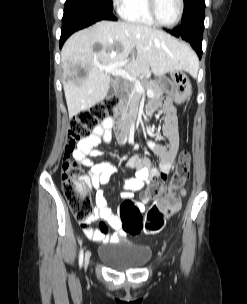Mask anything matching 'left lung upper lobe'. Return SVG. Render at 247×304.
<instances>
[{
    "label": "left lung upper lobe",
    "instance_id": "obj_1",
    "mask_svg": "<svg viewBox=\"0 0 247 304\" xmlns=\"http://www.w3.org/2000/svg\"><path fill=\"white\" fill-rule=\"evenodd\" d=\"M205 9V0H184V11L181 23L187 22L195 14L203 12Z\"/></svg>",
    "mask_w": 247,
    "mask_h": 304
}]
</instances>
